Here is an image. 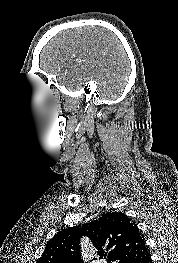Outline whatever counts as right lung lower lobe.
Listing matches in <instances>:
<instances>
[{
    "label": "right lung lower lobe",
    "instance_id": "1",
    "mask_svg": "<svg viewBox=\"0 0 178 263\" xmlns=\"http://www.w3.org/2000/svg\"><path fill=\"white\" fill-rule=\"evenodd\" d=\"M138 263H152L150 252L147 253Z\"/></svg>",
    "mask_w": 178,
    "mask_h": 263
}]
</instances>
